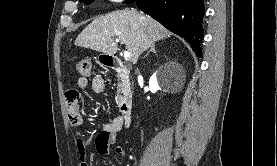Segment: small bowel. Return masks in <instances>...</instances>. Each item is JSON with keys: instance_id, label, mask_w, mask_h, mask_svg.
I'll list each match as a JSON object with an SVG mask.
<instances>
[{"instance_id": "c3829d8e", "label": "small bowel", "mask_w": 277, "mask_h": 166, "mask_svg": "<svg viewBox=\"0 0 277 166\" xmlns=\"http://www.w3.org/2000/svg\"><path fill=\"white\" fill-rule=\"evenodd\" d=\"M89 85L94 93L100 94L104 91L105 81L100 75H96L89 81L86 77H80L77 80L76 88L66 92V108L70 123L75 126H81L84 123V119L79 111V105L81 102V92L86 90ZM123 122L120 117L113 119L110 123L106 124L103 129L96 135L95 145L96 150L100 155H108L113 152L116 156L122 157L125 155V151L120 146L113 147L117 133L122 129ZM88 139L81 135L77 139V149L80 154L79 166H89L87 156Z\"/></svg>"}]
</instances>
